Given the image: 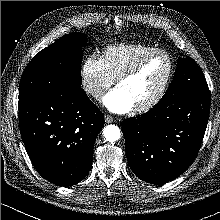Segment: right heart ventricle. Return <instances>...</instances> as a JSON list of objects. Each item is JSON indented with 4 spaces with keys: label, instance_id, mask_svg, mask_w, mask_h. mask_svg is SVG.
<instances>
[{
    "label": "right heart ventricle",
    "instance_id": "right-heart-ventricle-1",
    "mask_svg": "<svg viewBox=\"0 0 220 220\" xmlns=\"http://www.w3.org/2000/svg\"><path fill=\"white\" fill-rule=\"evenodd\" d=\"M153 49L155 47L142 43L114 44L105 47L100 58L106 71L115 79L139 56Z\"/></svg>",
    "mask_w": 220,
    "mask_h": 220
}]
</instances>
